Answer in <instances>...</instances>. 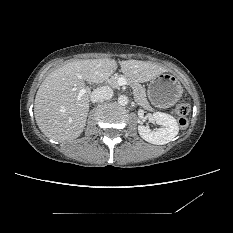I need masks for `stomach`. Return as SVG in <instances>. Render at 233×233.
<instances>
[{
    "label": "stomach",
    "mask_w": 233,
    "mask_h": 233,
    "mask_svg": "<svg viewBox=\"0 0 233 233\" xmlns=\"http://www.w3.org/2000/svg\"><path fill=\"white\" fill-rule=\"evenodd\" d=\"M182 95L179 80L169 73H161L150 80L148 98L155 106L166 108L174 105Z\"/></svg>",
    "instance_id": "1"
}]
</instances>
